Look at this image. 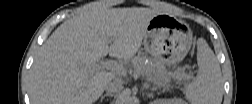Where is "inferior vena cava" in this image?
Masks as SVG:
<instances>
[{
    "label": "inferior vena cava",
    "instance_id": "602c4592",
    "mask_svg": "<svg viewBox=\"0 0 252 104\" xmlns=\"http://www.w3.org/2000/svg\"><path fill=\"white\" fill-rule=\"evenodd\" d=\"M123 89L122 83L119 81H110L105 86V91L109 94L119 93Z\"/></svg>",
    "mask_w": 252,
    "mask_h": 104
}]
</instances>
